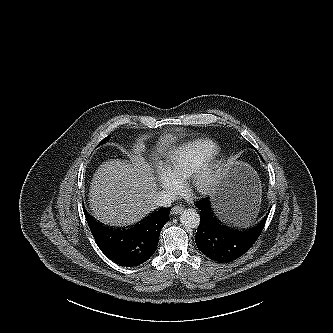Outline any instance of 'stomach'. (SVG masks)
I'll list each match as a JSON object with an SVG mask.
<instances>
[{"instance_id":"obj_1","label":"stomach","mask_w":333,"mask_h":333,"mask_svg":"<svg viewBox=\"0 0 333 333\" xmlns=\"http://www.w3.org/2000/svg\"><path fill=\"white\" fill-rule=\"evenodd\" d=\"M261 186L256 171L242 161H229L213 192V204L220 225L229 231H242L258 217Z\"/></svg>"}]
</instances>
